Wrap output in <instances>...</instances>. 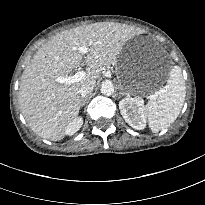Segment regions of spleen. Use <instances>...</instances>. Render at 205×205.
Returning a JSON list of instances; mask_svg holds the SVG:
<instances>
[{"instance_id":"obj_1","label":"spleen","mask_w":205,"mask_h":205,"mask_svg":"<svg viewBox=\"0 0 205 205\" xmlns=\"http://www.w3.org/2000/svg\"><path fill=\"white\" fill-rule=\"evenodd\" d=\"M186 96L185 81L179 66L171 68L165 89L150 96L145 107L149 128L153 133L168 128L177 119Z\"/></svg>"}]
</instances>
